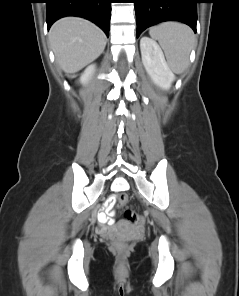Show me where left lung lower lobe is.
Returning a JSON list of instances; mask_svg holds the SVG:
<instances>
[{"instance_id": "1", "label": "left lung lower lobe", "mask_w": 239, "mask_h": 296, "mask_svg": "<svg viewBox=\"0 0 239 296\" xmlns=\"http://www.w3.org/2000/svg\"><path fill=\"white\" fill-rule=\"evenodd\" d=\"M137 37L146 28L164 21H180L196 33L198 0H133Z\"/></svg>"}]
</instances>
